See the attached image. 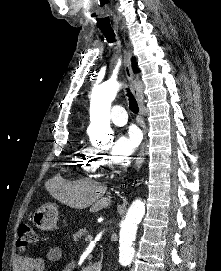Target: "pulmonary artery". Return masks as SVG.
<instances>
[{"instance_id": "e3ab8cb5", "label": "pulmonary artery", "mask_w": 221, "mask_h": 271, "mask_svg": "<svg viewBox=\"0 0 221 271\" xmlns=\"http://www.w3.org/2000/svg\"><path fill=\"white\" fill-rule=\"evenodd\" d=\"M110 111L108 116L111 117V122H115L116 126H124L125 122H129V117H126L127 113L124 112V107H111Z\"/></svg>"}]
</instances>
